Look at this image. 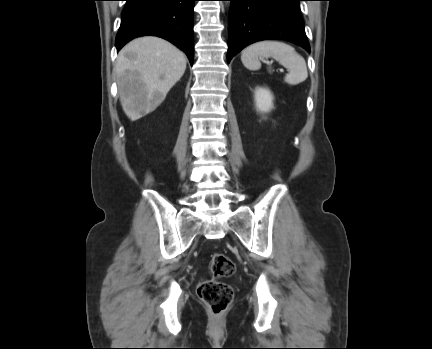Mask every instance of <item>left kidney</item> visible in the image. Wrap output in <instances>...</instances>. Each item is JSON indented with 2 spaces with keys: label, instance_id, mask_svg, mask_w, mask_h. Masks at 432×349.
I'll use <instances>...</instances> for the list:
<instances>
[{
  "label": "left kidney",
  "instance_id": "left-kidney-1",
  "mask_svg": "<svg viewBox=\"0 0 432 349\" xmlns=\"http://www.w3.org/2000/svg\"><path fill=\"white\" fill-rule=\"evenodd\" d=\"M255 105L258 111L262 113L270 112L273 108V95L269 89L258 87L255 90Z\"/></svg>",
  "mask_w": 432,
  "mask_h": 349
}]
</instances>
